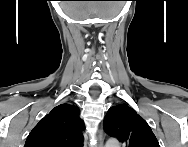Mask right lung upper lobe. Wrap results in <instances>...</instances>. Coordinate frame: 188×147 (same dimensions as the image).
Returning <instances> with one entry per match:
<instances>
[{
    "instance_id": "obj_1",
    "label": "right lung upper lobe",
    "mask_w": 188,
    "mask_h": 147,
    "mask_svg": "<svg viewBox=\"0 0 188 147\" xmlns=\"http://www.w3.org/2000/svg\"><path fill=\"white\" fill-rule=\"evenodd\" d=\"M83 130L78 107L60 104L33 128L25 147H83Z\"/></svg>"
}]
</instances>
